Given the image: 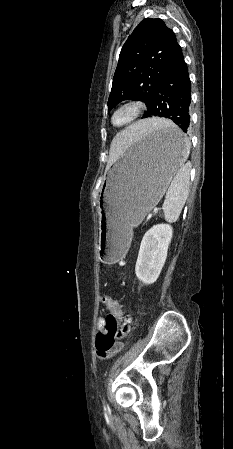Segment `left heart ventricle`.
<instances>
[{
    "instance_id": "obj_1",
    "label": "left heart ventricle",
    "mask_w": 233,
    "mask_h": 449,
    "mask_svg": "<svg viewBox=\"0 0 233 449\" xmlns=\"http://www.w3.org/2000/svg\"><path fill=\"white\" fill-rule=\"evenodd\" d=\"M124 117H125V114H120L118 117H117V121L119 122V121H122L123 119H124Z\"/></svg>"
}]
</instances>
